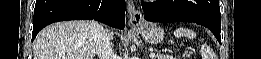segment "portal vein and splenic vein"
<instances>
[{
	"label": "portal vein and splenic vein",
	"mask_w": 261,
	"mask_h": 59,
	"mask_svg": "<svg viewBox=\"0 0 261 59\" xmlns=\"http://www.w3.org/2000/svg\"><path fill=\"white\" fill-rule=\"evenodd\" d=\"M150 57H151V58H154V57H155V53H154V52H151V53H150Z\"/></svg>",
	"instance_id": "portal-vein-and-splenic-vein-1"
}]
</instances>
